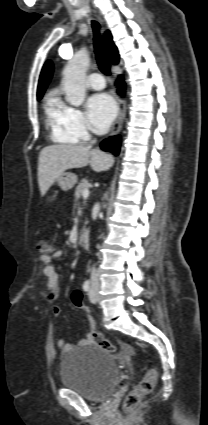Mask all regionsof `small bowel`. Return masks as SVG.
Listing matches in <instances>:
<instances>
[{"instance_id": "obj_1", "label": "small bowel", "mask_w": 208, "mask_h": 425, "mask_svg": "<svg viewBox=\"0 0 208 425\" xmlns=\"http://www.w3.org/2000/svg\"><path fill=\"white\" fill-rule=\"evenodd\" d=\"M62 251L57 250L52 255H41L40 260L43 263V273L47 278V293L46 298L49 302H54L60 294V276L57 269L52 264L53 258H60L62 256ZM52 311L54 315H59L61 308L57 305H53ZM91 338L88 335L86 338L82 339L79 344L82 346L91 344ZM57 346L64 352H68L72 349V345L67 343L63 338L56 339ZM123 350H127L126 345H122Z\"/></svg>"}]
</instances>
